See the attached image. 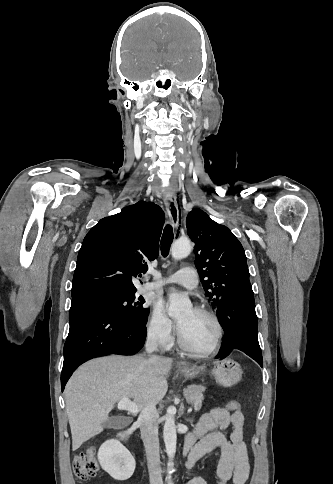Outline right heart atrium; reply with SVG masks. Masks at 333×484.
Listing matches in <instances>:
<instances>
[{"label":"right heart atrium","instance_id":"obj_1","mask_svg":"<svg viewBox=\"0 0 333 484\" xmlns=\"http://www.w3.org/2000/svg\"><path fill=\"white\" fill-rule=\"evenodd\" d=\"M148 339L163 349H169L174 342L175 326L160 307H155L147 323Z\"/></svg>","mask_w":333,"mask_h":484}]
</instances>
